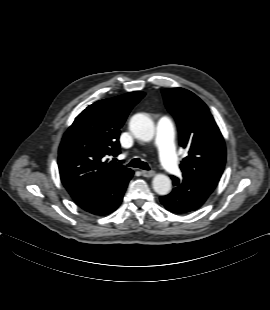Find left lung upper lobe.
<instances>
[{
	"instance_id": "obj_1",
	"label": "left lung upper lobe",
	"mask_w": 270,
	"mask_h": 310,
	"mask_svg": "<svg viewBox=\"0 0 270 310\" xmlns=\"http://www.w3.org/2000/svg\"><path fill=\"white\" fill-rule=\"evenodd\" d=\"M162 93L167 109L177 121L180 145L188 150L180 164L183 177L217 185L224 170L226 150L208 107L183 88L163 89Z\"/></svg>"
}]
</instances>
